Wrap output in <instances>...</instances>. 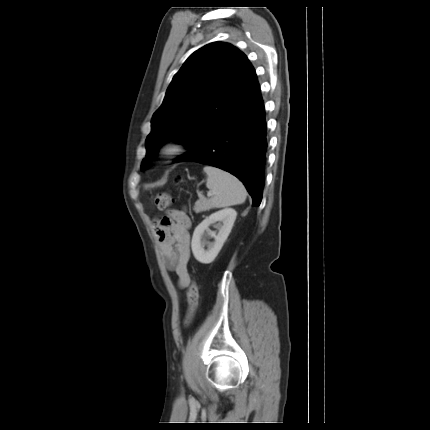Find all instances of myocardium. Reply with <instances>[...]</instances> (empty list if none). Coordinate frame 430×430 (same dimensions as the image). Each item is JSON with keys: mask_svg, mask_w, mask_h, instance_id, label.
I'll return each mask as SVG.
<instances>
[{"mask_svg": "<svg viewBox=\"0 0 430 430\" xmlns=\"http://www.w3.org/2000/svg\"><path fill=\"white\" fill-rule=\"evenodd\" d=\"M183 151V147L180 142L176 140H170L166 142L159 151V157L162 160H168L176 155L180 154Z\"/></svg>", "mask_w": 430, "mask_h": 430, "instance_id": "1", "label": "myocardium"}]
</instances>
